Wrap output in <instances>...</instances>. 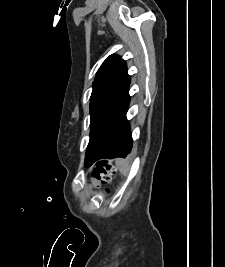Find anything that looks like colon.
Wrapping results in <instances>:
<instances>
[{"label":"colon","instance_id":"1","mask_svg":"<svg viewBox=\"0 0 225 267\" xmlns=\"http://www.w3.org/2000/svg\"><path fill=\"white\" fill-rule=\"evenodd\" d=\"M115 172L114 165L111 161H99L92 172L91 186L101 188L104 194H109L108 187Z\"/></svg>","mask_w":225,"mask_h":267}]
</instances>
